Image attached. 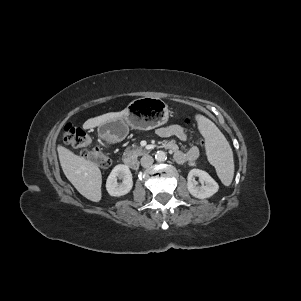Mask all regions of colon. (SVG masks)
I'll use <instances>...</instances> for the list:
<instances>
[{
  "mask_svg": "<svg viewBox=\"0 0 301 301\" xmlns=\"http://www.w3.org/2000/svg\"><path fill=\"white\" fill-rule=\"evenodd\" d=\"M185 122L189 123V119H186ZM62 135L65 143L81 149L83 158L101 168L110 166L109 157L100 148L91 145V139L83 129L68 123L64 126ZM199 143L203 145L204 142L200 140Z\"/></svg>",
  "mask_w": 301,
  "mask_h": 301,
  "instance_id": "obj_1",
  "label": "colon"
}]
</instances>
